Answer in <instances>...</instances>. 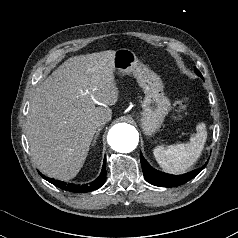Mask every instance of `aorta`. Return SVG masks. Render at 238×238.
Returning a JSON list of instances; mask_svg holds the SVG:
<instances>
[{
    "label": "aorta",
    "instance_id": "762f6f07",
    "mask_svg": "<svg viewBox=\"0 0 238 238\" xmlns=\"http://www.w3.org/2000/svg\"><path fill=\"white\" fill-rule=\"evenodd\" d=\"M107 139L113 150L128 153L133 151L138 145L139 135L133 126L119 123L110 129Z\"/></svg>",
    "mask_w": 238,
    "mask_h": 238
}]
</instances>
